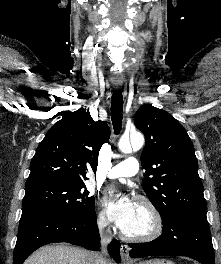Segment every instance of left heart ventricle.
Instances as JSON below:
<instances>
[{
  "label": "left heart ventricle",
  "mask_w": 221,
  "mask_h": 264,
  "mask_svg": "<svg viewBox=\"0 0 221 264\" xmlns=\"http://www.w3.org/2000/svg\"><path fill=\"white\" fill-rule=\"evenodd\" d=\"M151 225L152 221L149 213L138 204L132 221L124 231L132 235L144 234L150 230Z\"/></svg>",
  "instance_id": "1"
}]
</instances>
